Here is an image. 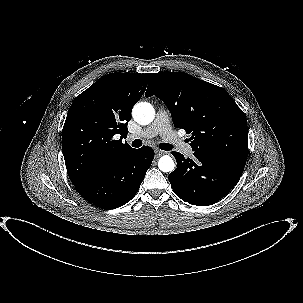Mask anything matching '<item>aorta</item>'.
Here are the masks:
<instances>
[{
    "label": "aorta",
    "mask_w": 303,
    "mask_h": 303,
    "mask_svg": "<svg viewBox=\"0 0 303 303\" xmlns=\"http://www.w3.org/2000/svg\"><path fill=\"white\" fill-rule=\"evenodd\" d=\"M132 115L137 123L147 125L153 121L155 111L150 103L140 102L134 106ZM158 167L162 172H172L175 168V164L169 155H164L159 159Z\"/></svg>",
    "instance_id": "1"
}]
</instances>
